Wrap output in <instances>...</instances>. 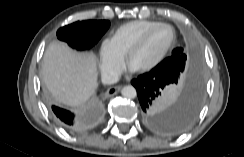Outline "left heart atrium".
<instances>
[{"mask_svg": "<svg viewBox=\"0 0 244 157\" xmlns=\"http://www.w3.org/2000/svg\"><path fill=\"white\" fill-rule=\"evenodd\" d=\"M129 69H130L131 71L136 70V69H135V68H133L132 66H130V67H129Z\"/></svg>", "mask_w": 244, "mask_h": 157, "instance_id": "39dd6f15", "label": "left heart atrium"}]
</instances>
